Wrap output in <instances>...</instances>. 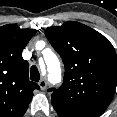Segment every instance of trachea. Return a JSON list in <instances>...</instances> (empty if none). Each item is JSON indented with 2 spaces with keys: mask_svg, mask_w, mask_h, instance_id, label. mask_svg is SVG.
<instances>
[{
  "mask_svg": "<svg viewBox=\"0 0 117 117\" xmlns=\"http://www.w3.org/2000/svg\"><path fill=\"white\" fill-rule=\"evenodd\" d=\"M30 78L32 81L38 82L40 80V73L36 66H32L30 69Z\"/></svg>",
  "mask_w": 117,
  "mask_h": 117,
  "instance_id": "3493384b",
  "label": "trachea"
}]
</instances>
